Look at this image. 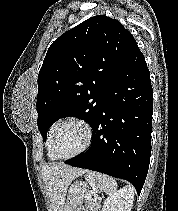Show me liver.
I'll return each mask as SVG.
<instances>
[{"label":"liver","instance_id":"1","mask_svg":"<svg viewBox=\"0 0 178 211\" xmlns=\"http://www.w3.org/2000/svg\"><path fill=\"white\" fill-rule=\"evenodd\" d=\"M86 170L64 164H45L41 174L53 211H63L66 193L71 182Z\"/></svg>","mask_w":178,"mask_h":211}]
</instances>
